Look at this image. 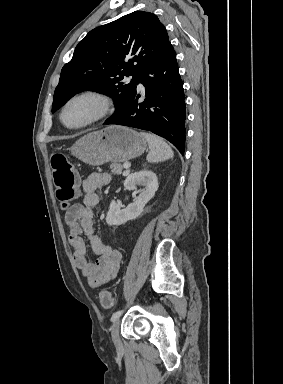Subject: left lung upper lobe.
I'll use <instances>...</instances> for the list:
<instances>
[{"label":"left lung upper lobe","instance_id":"5c2ea615","mask_svg":"<svg viewBox=\"0 0 283 384\" xmlns=\"http://www.w3.org/2000/svg\"><path fill=\"white\" fill-rule=\"evenodd\" d=\"M168 43L164 25L155 14L145 11L132 12L91 30L62 68L52 112L76 93L89 89L114 99L116 111L111 119L126 108L139 76ZM124 76L133 78L121 82Z\"/></svg>","mask_w":283,"mask_h":384}]
</instances>
